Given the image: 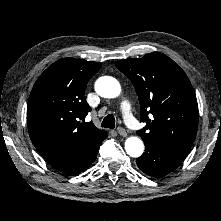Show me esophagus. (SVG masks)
I'll return each mask as SVG.
<instances>
[{"mask_svg":"<svg viewBox=\"0 0 221 221\" xmlns=\"http://www.w3.org/2000/svg\"><path fill=\"white\" fill-rule=\"evenodd\" d=\"M117 132H118L119 135H121V136H123V137H126V136H127L126 130H125L124 128H122V127H118V128H117Z\"/></svg>","mask_w":221,"mask_h":221,"instance_id":"esophagus-1","label":"esophagus"}]
</instances>
